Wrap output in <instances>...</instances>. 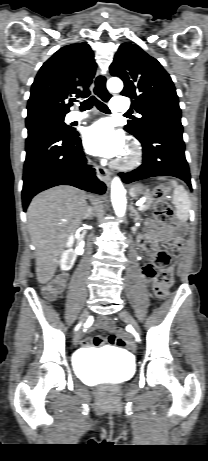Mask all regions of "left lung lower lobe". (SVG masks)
I'll list each match as a JSON object with an SVG mask.
<instances>
[{
    "instance_id": "left-lung-lower-lobe-1",
    "label": "left lung lower lobe",
    "mask_w": 208,
    "mask_h": 461,
    "mask_svg": "<svg viewBox=\"0 0 208 461\" xmlns=\"http://www.w3.org/2000/svg\"><path fill=\"white\" fill-rule=\"evenodd\" d=\"M182 133V125L172 123L150 128L138 139L143 146V163L133 171L120 173L123 182L131 183L154 176H173L183 180L192 189Z\"/></svg>"
}]
</instances>
